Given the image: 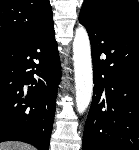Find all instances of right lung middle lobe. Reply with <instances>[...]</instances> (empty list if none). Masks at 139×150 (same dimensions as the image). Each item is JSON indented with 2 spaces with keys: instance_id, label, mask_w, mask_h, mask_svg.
I'll return each instance as SVG.
<instances>
[{
  "instance_id": "obj_1",
  "label": "right lung middle lobe",
  "mask_w": 139,
  "mask_h": 150,
  "mask_svg": "<svg viewBox=\"0 0 139 150\" xmlns=\"http://www.w3.org/2000/svg\"><path fill=\"white\" fill-rule=\"evenodd\" d=\"M4 47H6V45H0V49H2V48H4Z\"/></svg>"
}]
</instances>
